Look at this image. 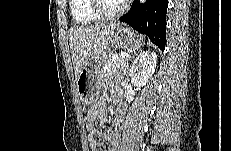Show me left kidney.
<instances>
[{
  "mask_svg": "<svg viewBox=\"0 0 231 151\" xmlns=\"http://www.w3.org/2000/svg\"><path fill=\"white\" fill-rule=\"evenodd\" d=\"M156 64L155 52H141L130 68L131 83L139 87L145 85L154 73Z\"/></svg>",
  "mask_w": 231,
  "mask_h": 151,
  "instance_id": "5707ae66",
  "label": "left kidney"
}]
</instances>
